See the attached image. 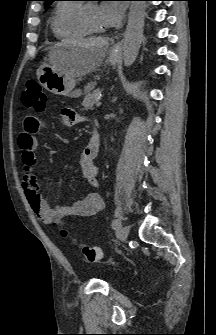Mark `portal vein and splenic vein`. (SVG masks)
Returning <instances> with one entry per match:
<instances>
[{
	"label": "portal vein and splenic vein",
	"mask_w": 216,
	"mask_h": 335,
	"mask_svg": "<svg viewBox=\"0 0 216 335\" xmlns=\"http://www.w3.org/2000/svg\"><path fill=\"white\" fill-rule=\"evenodd\" d=\"M101 104H102L101 99H100V97H98L96 106L99 107V106H101Z\"/></svg>",
	"instance_id": "18ae733b"
}]
</instances>
